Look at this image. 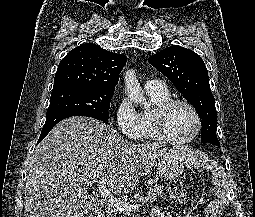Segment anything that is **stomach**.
<instances>
[{
    "label": "stomach",
    "instance_id": "stomach-1",
    "mask_svg": "<svg viewBox=\"0 0 255 217\" xmlns=\"http://www.w3.org/2000/svg\"><path fill=\"white\" fill-rule=\"evenodd\" d=\"M189 159L178 148L168 150L158 160L159 177L165 180H174L180 177Z\"/></svg>",
    "mask_w": 255,
    "mask_h": 217
}]
</instances>
